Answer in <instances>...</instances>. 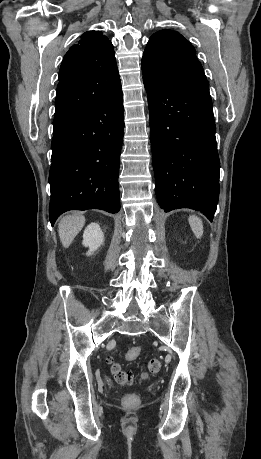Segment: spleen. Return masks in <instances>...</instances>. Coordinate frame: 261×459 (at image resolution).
<instances>
[{
  "mask_svg": "<svg viewBox=\"0 0 261 459\" xmlns=\"http://www.w3.org/2000/svg\"><path fill=\"white\" fill-rule=\"evenodd\" d=\"M188 220H189L190 227L193 233L195 234L196 238L200 239L203 236L202 220L195 215L189 216Z\"/></svg>",
  "mask_w": 261,
  "mask_h": 459,
  "instance_id": "obj_1",
  "label": "spleen"
}]
</instances>
